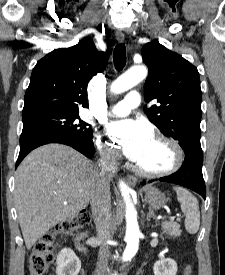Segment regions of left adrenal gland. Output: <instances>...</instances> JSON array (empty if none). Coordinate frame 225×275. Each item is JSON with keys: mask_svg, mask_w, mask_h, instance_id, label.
Wrapping results in <instances>:
<instances>
[{"mask_svg": "<svg viewBox=\"0 0 225 275\" xmlns=\"http://www.w3.org/2000/svg\"><path fill=\"white\" fill-rule=\"evenodd\" d=\"M151 218L155 219V214L151 209H149V213L147 214V220L149 221Z\"/></svg>", "mask_w": 225, "mask_h": 275, "instance_id": "left-adrenal-gland-1", "label": "left adrenal gland"}]
</instances>
